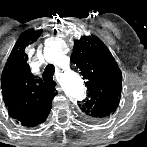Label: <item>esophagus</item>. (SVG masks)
<instances>
[{"label":"esophagus","mask_w":147,"mask_h":147,"mask_svg":"<svg viewBox=\"0 0 147 147\" xmlns=\"http://www.w3.org/2000/svg\"><path fill=\"white\" fill-rule=\"evenodd\" d=\"M55 82H56L57 86L59 87L60 86V81H59L58 78H55Z\"/></svg>","instance_id":"obj_1"}]
</instances>
